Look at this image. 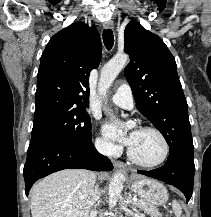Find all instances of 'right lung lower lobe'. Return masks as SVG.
<instances>
[{
  "mask_svg": "<svg viewBox=\"0 0 211 217\" xmlns=\"http://www.w3.org/2000/svg\"><path fill=\"white\" fill-rule=\"evenodd\" d=\"M70 168L111 171L113 165L93 143L80 146L53 137L31 138L23 171L26 195L36 180Z\"/></svg>",
  "mask_w": 211,
  "mask_h": 217,
  "instance_id": "98d812e1",
  "label": "right lung lower lobe"
}]
</instances>
